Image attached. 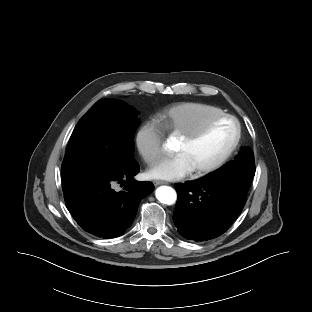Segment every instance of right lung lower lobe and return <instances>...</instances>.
Instances as JSON below:
<instances>
[{
    "mask_svg": "<svg viewBox=\"0 0 312 312\" xmlns=\"http://www.w3.org/2000/svg\"><path fill=\"white\" fill-rule=\"evenodd\" d=\"M139 172L136 161L121 171L95 179L64 193L65 204L83 230L102 238L122 235L132 224L138 205L154 189L151 182L133 177ZM114 183L126 184L116 192Z\"/></svg>",
    "mask_w": 312,
    "mask_h": 312,
    "instance_id": "obj_1",
    "label": "right lung lower lobe"
}]
</instances>
